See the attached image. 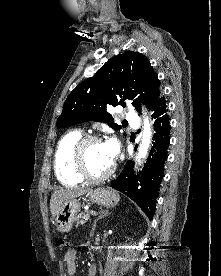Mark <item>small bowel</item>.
<instances>
[{"instance_id": "c3829d8e", "label": "small bowel", "mask_w": 221, "mask_h": 276, "mask_svg": "<svg viewBox=\"0 0 221 276\" xmlns=\"http://www.w3.org/2000/svg\"><path fill=\"white\" fill-rule=\"evenodd\" d=\"M76 260H77L76 250L73 248L68 249L64 256V264L66 267V271L70 276H73L76 273V270H77ZM95 275H96V265L91 264L88 269V276H95Z\"/></svg>"}]
</instances>
